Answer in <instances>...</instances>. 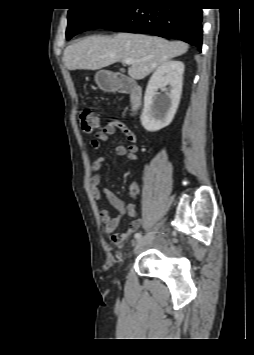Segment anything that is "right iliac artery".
Returning <instances> with one entry per match:
<instances>
[{"label": "right iliac artery", "instance_id": "82829eb1", "mask_svg": "<svg viewBox=\"0 0 254 355\" xmlns=\"http://www.w3.org/2000/svg\"><path fill=\"white\" fill-rule=\"evenodd\" d=\"M137 240L141 239L142 235L141 233H136L134 236Z\"/></svg>", "mask_w": 254, "mask_h": 355}]
</instances>
